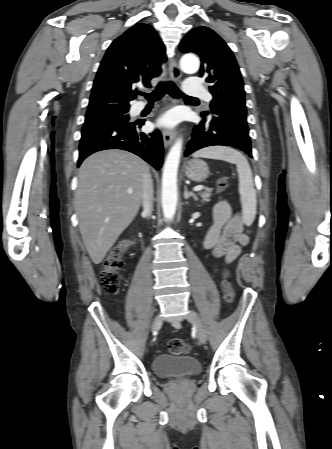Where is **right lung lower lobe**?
<instances>
[{
    "mask_svg": "<svg viewBox=\"0 0 332 449\" xmlns=\"http://www.w3.org/2000/svg\"><path fill=\"white\" fill-rule=\"evenodd\" d=\"M143 124L144 120H108L84 125L78 166L94 152L122 149L140 156L158 170L163 162L162 136L158 130L148 134L141 132L139 128Z\"/></svg>",
    "mask_w": 332,
    "mask_h": 449,
    "instance_id": "obj_1",
    "label": "right lung lower lobe"
}]
</instances>
